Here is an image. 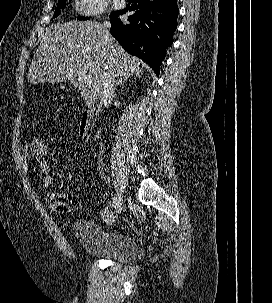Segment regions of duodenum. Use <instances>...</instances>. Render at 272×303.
Wrapping results in <instances>:
<instances>
[{
    "label": "duodenum",
    "instance_id": "1",
    "mask_svg": "<svg viewBox=\"0 0 272 303\" xmlns=\"http://www.w3.org/2000/svg\"><path fill=\"white\" fill-rule=\"evenodd\" d=\"M93 115H94V105L88 104L83 110L80 123L78 126L79 138L84 139L87 136Z\"/></svg>",
    "mask_w": 272,
    "mask_h": 303
}]
</instances>
